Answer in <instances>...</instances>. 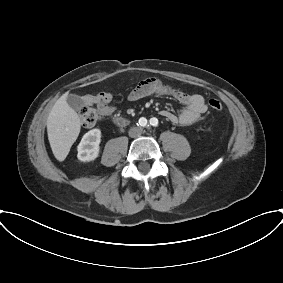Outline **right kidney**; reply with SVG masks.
<instances>
[{"instance_id":"ca27d5eb","label":"right kidney","mask_w":283,"mask_h":283,"mask_svg":"<svg viewBox=\"0 0 283 283\" xmlns=\"http://www.w3.org/2000/svg\"><path fill=\"white\" fill-rule=\"evenodd\" d=\"M101 131L100 129H92L88 131L77 146L78 159L83 162L95 160L100 151Z\"/></svg>"}]
</instances>
